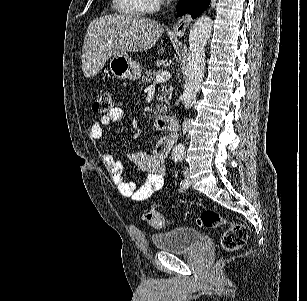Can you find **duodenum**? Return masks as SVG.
Masks as SVG:
<instances>
[{
    "label": "duodenum",
    "mask_w": 307,
    "mask_h": 301,
    "mask_svg": "<svg viewBox=\"0 0 307 301\" xmlns=\"http://www.w3.org/2000/svg\"><path fill=\"white\" fill-rule=\"evenodd\" d=\"M156 127L160 130L173 132L177 129L178 120L173 115L160 116L155 121Z\"/></svg>",
    "instance_id": "1"
}]
</instances>
